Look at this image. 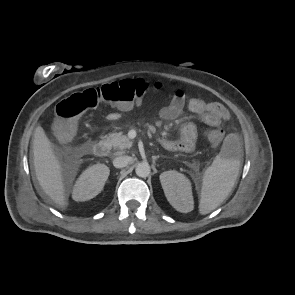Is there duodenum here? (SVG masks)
I'll list each match as a JSON object with an SVG mask.
<instances>
[{
    "mask_svg": "<svg viewBox=\"0 0 295 295\" xmlns=\"http://www.w3.org/2000/svg\"><path fill=\"white\" fill-rule=\"evenodd\" d=\"M83 150L84 152L92 153L97 157H104L107 155L109 147L107 143L99 141L84 144Z\"/></svg>",
    "mask_w": 295,
    "mask_h": 295,
    "instance_id": "duodenum-1",
    "label": "duodenum"
}]
</instances>
